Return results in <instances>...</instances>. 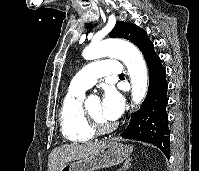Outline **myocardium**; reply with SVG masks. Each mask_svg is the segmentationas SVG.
Masks as SVG:
<instances>
[{
	"label": "myocardium",
	"mask_w": 199,
	"mask_h": 171,
	"mask_svg": "<svg viewBox=\"0 0 199 171\" xmlns=\"http://www.w3.org/2000/svg\"><path fill=\"white\" fill-rule=\"evenodd\" d=\"M87 119H88V123L90 128L93 130L94 133H107L110 132L112 130L115 129V125L114 124H108V123H103L100 120H98L97 118H95L89 111L88 109H84Z\"/></svg>",
	"instance_id": "myocardium-1"
}]
</instances>
